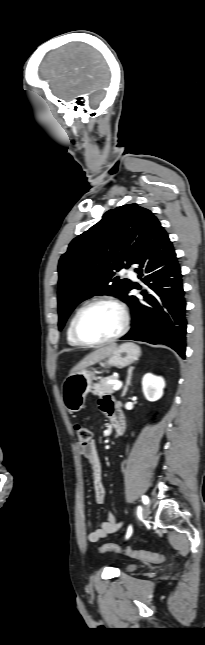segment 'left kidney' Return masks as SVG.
<instances>
[{
  "label": "left kidney",
  "instance_id": "left-kidney-1",
  "mask_svg": "<svg viewBox=\"0 0 205 645\" xmlns=\"http://www.w3.org/2000/svg\"><path fill=\"white\" fill-rule=\"evenodd\" d=\"M164 387L165 381L162 377L147 373L142 379L143 393L148 401L159 400L163 395Z\"/></svg>",
  "mask_w": 205,
  "mask_h": 645
}]
</instances>
